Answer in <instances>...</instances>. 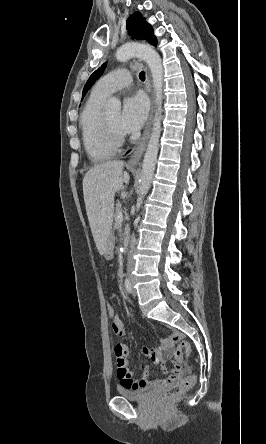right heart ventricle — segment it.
Instances as JSON below:
<instances>
[{"mask_svg":"<svg viewBox=\"0 0 266 444\" xmlns=\"http://www.w3.org/2000/svg\"><path fill=\"white\" fill-rule=\"evenodd\" d=\"M107 96L92 92L80 119L81 136L87 155L94 161H103L114 155L115 149L104 139L101 132L102 107Z\"/></svg>","mask_w":266,"mask_h":444,"instance_id":"right-heart-ventricle-1","label":"right heart ventricle"}]
</instances>
